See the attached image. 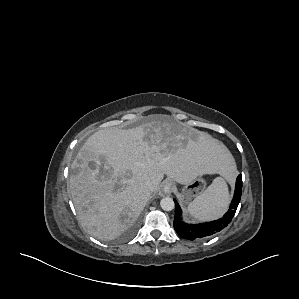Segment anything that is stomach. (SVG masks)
<instances>
[{"instance_id":"0dacf381","label":"stomach","mask_w":299,"mask_h":299,"mask_svg":"<svg viewBox=\"0 0 299 299\" xmlns=\"http://www.w3.org/2000/svg\"><path fill=\"white\" fill-rule=\"evenodd\" d=\"M205 181L202 178V175L197 176L182 189L180 194L181 201L185 204L192 201V199L198 197L204 190Z\"/></svg>"}]
</instances>
